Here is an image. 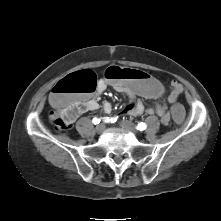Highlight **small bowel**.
Returning a JSON list of instances; mask_svg holds the SVG:
<instances>
[{
  "instance_id": "obj_1",
  "label": "small bowel",
  "mask_w": 221,
  "mask_h": 221,
  "mask_svg": "<svg viewBox=\"0 0 221 221\" xmlns=\"http://www.w3.org/2000/svg\"><path fill=\"white\" fill-rule=\"evenodd\" d=\"M140 72V71H139ZM109 83L106 82L105 79H100L97 82L96 85V90L94 94H84L80 96L77 99V104L79 105L78 111L74 114L73 121L72 123L84 112L87 111H95L99 109L100 105L97 100L98 96L101 95L108 87ZM112 88L118 92L126 95L129 99L130 102L128 105L124 108L122 111V115H133V116H139L143 113H147L149 115L151 114H157L161 122L166 125L169 123V111L166 106L156 104L153 108L145 109L142 101L139 99V95L135 94L132 89L124 84H111ZM183 92L182 85L177 82V81H172L171 82V91L168 96V101L172 104L174 102H177L178 98ZM160 101L161 102H166L167 101V96L166 95H161L160 96ZM112 110V105L109 102H105L103 104V111L105 113H110ZM118 116H115L112 118V120H115ZM116 121V120H115Z\"/></svg>"
}]
</instances>
